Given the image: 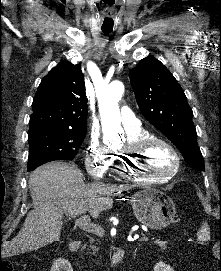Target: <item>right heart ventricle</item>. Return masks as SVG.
<instances>
[{
    "label": "right heart ventricle",
    "mask_w": 221,
    "mask_h": 271,
    "mask_svg": "<svg viewBox=\"0 0 221 271\" xmlns=\"http://www.w3.org/2000/svg\"><path fill=\"white\" fill-rule=\"evenodd\" d=\"M148 134L149 133L146 131L134 133L128 137L126 144H138V141L141 138H146ZM141 177L142 178H135V183H172V178H164L165 176L163 174L161 176L157 174L155 176L156 178H153L152 176L150 178H146L147 176L145 174Z\"/></svg>",
    "instance_id": "right-heart-ventricle-1"
}]
</instances>
